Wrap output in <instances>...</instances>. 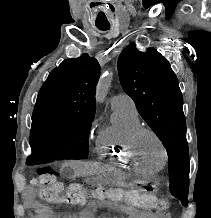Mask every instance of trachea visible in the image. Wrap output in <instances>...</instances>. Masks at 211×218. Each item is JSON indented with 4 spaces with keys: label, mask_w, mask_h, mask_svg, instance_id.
<instances>
[{
    "label": "trachea",
    "mask_w": 211,
    "mask_h": 218,
    "mask_svg": "<svg viewBox=\"0 0 211 218\" xmlns=\"http://www.w3.org/2000/svg\"><path fill=\"white\" fill-rule=\"evenodd\" d=\"M97 28H99V30H109L110 26H99Z\"/></svg>",
    "instance_id": "obj_1"
}]
</instances>
